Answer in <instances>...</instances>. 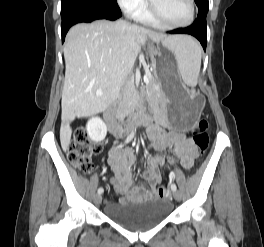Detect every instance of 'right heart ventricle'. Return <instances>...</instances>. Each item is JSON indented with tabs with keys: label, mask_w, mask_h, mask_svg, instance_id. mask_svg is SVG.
<instances>
[{
	"label": "right heart ventricle",
	"mask_w": 264,
	"mask_h": 247,
	"mask_svg": "<svg viewBox=\"0 0 264 247\" xmlns=\"http://www.w3.org/2000/svg\"><path fill=\"white\" fill-rule=\"evenodd\" d=\"M135 19L145 25L158 27V24L152 19L146 7L140 9L134 14Z\"/></svg>",
	"instance_id": "obj_1"
}]
</instances>
